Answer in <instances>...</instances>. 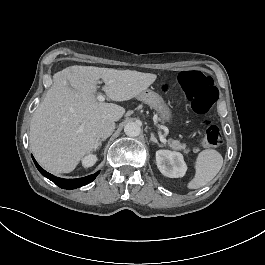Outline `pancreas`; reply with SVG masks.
I'll return each instance as SVG.
<instances>
[{
  "label": "pancreas",
  "mask_w": 265,
  "mask_h": 265,
  "mask_svg": "<svg viewBox=\"0 0 265 265\" xmlns=\"http://www.w3.org/2000/svg\"><path fill=\"white\" fill-rule=\"evenodd\" d=\"M158 121H161V118H158ZM167 144L174 150H184L185 153H188L189 150L186 149V144H181L178 140L168 139ZM199 148H194L193 152H198Z\"/></svg>",
  "instance_id": "cf45deb5"
}]
</instances>
